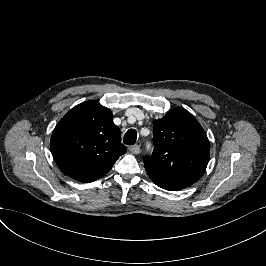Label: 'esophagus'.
Returning a JSON list of instances; mask_svg holds the SVG:
<instances>
[{"label":"esophagus","mask_w":266,"mask_h":266,"mask_svg":"<svg viewBox=\"0 0 266 266\" xmlns=\"http://www.w3.org/2000/svg\"><path fill=\"white\" fill-rule=\"evenodd\" d=\"M129 150L133 154H139L140 153V146L139 145L130 146Z\"/></svg>","instance_id":"34e87169"}]
</instances>
